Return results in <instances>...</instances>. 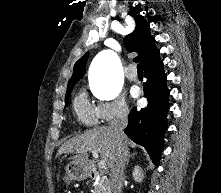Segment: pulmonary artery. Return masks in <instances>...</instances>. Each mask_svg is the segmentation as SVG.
I'll list each match as a JSON object with an SVG mask.
<instances>
[{
    "mask_svg": "<svg viewBox=\"0 0 221 193\" xmlns=\"http://www.w3.org/2000/svg\"><path fill=\"white\" fill-rule=\"evenodd\" d=\"M126 76L127 78L130 80V81H136L137 78H138V74L135 70H129L127 73H126Z\"/></svg>",
    "mask_w": 221,
    "mask_h": 193,
    "instance_id": "e3ab8cb5",
    "label": "pulmonary artery"
}]
</instances>
